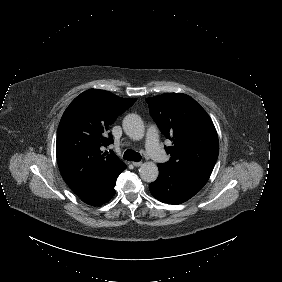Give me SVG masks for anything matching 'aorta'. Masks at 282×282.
<instances>
[{"mask_svg":"<svg viewBox=\"0 0 282 282\" xmlns=\"http://www.w3.org/2000/svg\"><path fill=\"white\" fill-rule=\"evenodd\" d=\"M125 133L132 139H140L144 133V123L140 115L128 113L122 121ZM141 179L147 183L155 182L158 178V167L151 162H146L139 169Z\"/></svg>","mask_w":282,"mask_h":282,"instance_id":"762f6f07","label":"aorta"}]
</instances>
